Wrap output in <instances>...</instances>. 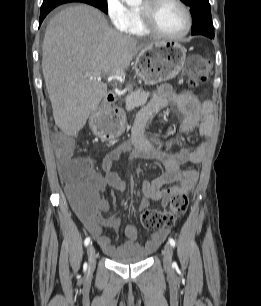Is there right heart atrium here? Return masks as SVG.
<instances>
[{"label": "right heart atrium", "instance_id": "1", "mask_svg": "<svg viewBox=\"0 0 261 306\" xmlns=\"http://www.w3.org/2000/svg\"><path fill=\"white\" fill-rule=\"evenodd\" d=\"M105 8L113 27L125 31L129 22V9L123 0H105Z\"/></svg>", "mask_w": 261, "mask_h": 306}]
</instances>
